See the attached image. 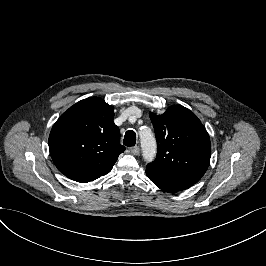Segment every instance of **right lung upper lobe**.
<instances>
[{
    "label": "right lung upper lobe",
    "mask_w": 266,
    "mask_h": 266,
    "mask_svg": "<svg viewBox=\"0 0 266 266\" xmlns=\"http://www.w3.org/2000/svg\"><path fill=\"white\" fill-rule=\"evenodd\" d=\"M113 110L103 99L90 97L74 104L54 124L50 155L66 177L86 183L111 171L125 150Z\"/></svg>",
    "instance_id": "cb5924a9"
}]
</instances>
